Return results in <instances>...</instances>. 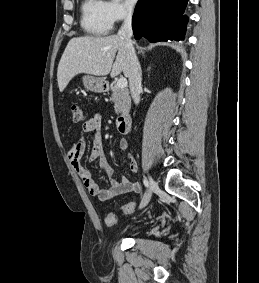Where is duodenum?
Segmentation results:
<instances>
[{
  "label": "duodenum",
  "mask_w": 259,
  "mask_h": 283,
  "mask_svg": "<svg viewBox=\"0 0 259 283\" xmlns=\"http://www.w3.org/2000/svg\"><path fill=\"white\" fill-rule=\"evenodd\" d=\"M131 116L129 114H123L117 119V129L120 133L126 134L131 127Z\"/></svg>",
  "instance_id": "duodenum-1"
}]
</instances>
